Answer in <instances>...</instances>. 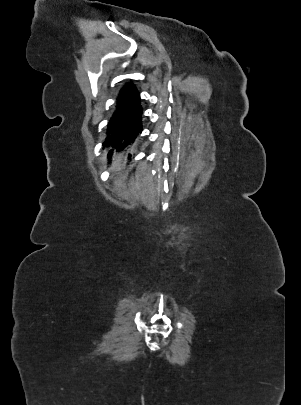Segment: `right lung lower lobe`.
Returning a JSON list of instances; mask_svg holds the SVG:
<instances>
[{"label":"right lung lower lobe","instance_id":"obj_1","mask_svg":"<svg viewBox=\"0 0 301 405\" xmlns=\"http://www.w3.org/2000/svg\"><path fill=\"white\" fill-rule=\"evenodd\" d=\"M142 132L140 94L132 83L120 90L115 109L107 125L103 146L121 150L133 144Z\"/></svg>","mask_w":301,"mask_h":405}]
</instances>
